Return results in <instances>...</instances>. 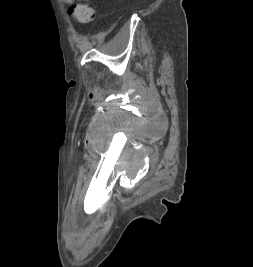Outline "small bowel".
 <instances>
[{
	"instance_id": "c3829d8e",
	"label": "small bowel",
	"mask_w": 253,
	"mask_h": 267,
	"mask_svg": "<svg viewBox=\"0 0 253 267\" xmlns=\"http://www.w3.org/2000/svg\"><path fill=\"white\" fill-rule=\"evenodd\" d=\"M66 4H71L73 0H63Z\"/></svg>"
}]
</instances>
